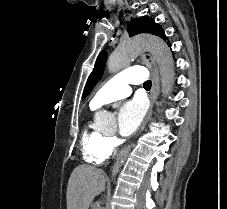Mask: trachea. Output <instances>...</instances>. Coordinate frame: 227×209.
I'll return each mask as SVG.
<instances>
[{"label": "trachea", "instance_id": "obj_1", "mask_svg": "<svg viewBox=\"0 0 227 209\" xmlns=\"http://www.w3.org/2000/svg\"><path fill=\"white\" fill-rule=\"evenodd\" d=\"M151 84H152L151 81L147 80L146 82H144L143 87L149 89L151 87Z\"/></svg>", "mask_w": 227, "mask_h": 209}]
</instances>
